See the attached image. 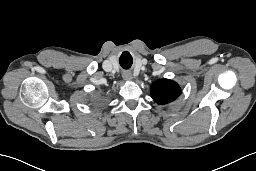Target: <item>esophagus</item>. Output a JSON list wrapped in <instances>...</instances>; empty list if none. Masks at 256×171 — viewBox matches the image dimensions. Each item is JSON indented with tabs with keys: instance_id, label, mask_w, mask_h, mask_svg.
<instances>
[{
	"instance_id": "1",
	"label": "esophagus",
	"mask_w": 256,
	"mask_h": 171,
	"mask_svg": "<svg viewBox=\"0 0 256 171\" xmlns=\"http://www.w3.org/2000/svg\"><path fill=\"white\" fill-rule=\"evenodd\" d=\"M123 78H124V80L130 81V80L133 79V76L130 72H124L123 73Z\"/></svg>"
}]
</instances>
